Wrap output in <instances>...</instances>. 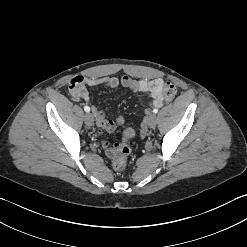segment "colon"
I'll return each instance as SVG.
<instances>
[{
  "instance_id": "colon-1",
  "label": "colon",
  "mask_w": 247,
  "mask_h": 247,
  "mask_svg": "<svg viewBox=\"0 0 247 247\" xmlns=\"http://www.w3.org/2000/svg\"><path fill=\"white\" fill-rule=\"evenodd\" d=\"M176 94L175 86L166 82L164 84L163 96L166 101H172ZM135 136V131L132 128H127L122 134V142L116 144L114 148V157L112 161V166L115 171L122 172L127 165L128 157L130 155L131 149L129 146V141Z\"/></svg>"
}]
</instances>
